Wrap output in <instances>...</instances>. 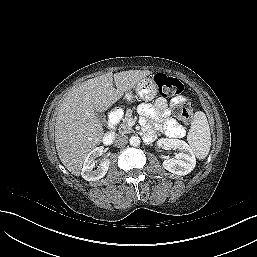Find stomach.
<instances>
[{
	"label": "stomach",
	"mask_w": 257,
	"mask_h": 257,
	"mask_svg": "<svg viewBox=\"0 0 257 257\" xmlns=\"http://www.w3.org/2000/svg\"><path fill=\"white\" fill-rule=\"evenodd\" d=\"M134 92L140 99L151 101L157 95V85L152 78H143L134 87ZM126 97L131 98L132 92H127Z\"/></svg>",
	"instance_id": "0dacf381"
}]
</instances>
